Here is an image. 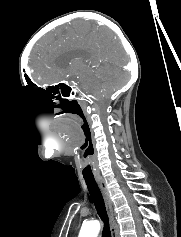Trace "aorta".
I'll list each match as a JSON object with an SVG mask.
<instances>
[{
	"label": "aorta",
	"instance_id": "obj_1",
	"mask_svg": "<svg viewBox=\"0 0 181 237\" xmlns=\"http://www.w3.org/2000/svg\"><path fill=\"white\" fill-rule=\"evenodd\" d=\"M100 231V222L90 221L82 225L78 237H97Z\"/></svg>",
	"mask_w": 181,
	"mask_h": 237
}]
</instances>
